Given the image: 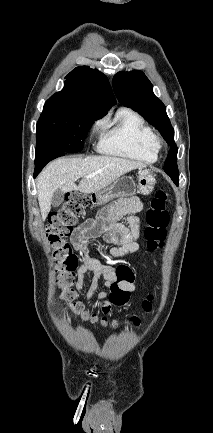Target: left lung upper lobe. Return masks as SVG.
<instances>
[{"label":"left lung upper lobe","mask_w":213,"mask_h":433,"mask_svg":"<svg viewBox=\"0 0 213 433\" xmlns=\"http://www.w3.org/2000/svg\"><path fill=\"white\" fill-rule=\"evenodd\" d=\"M114 92L122 105L132 108L152 124L170 145L164 171L178 186L179 174L176 163L177 146L174 129L166 114L165 105L153 93V86L141 71L118 72L113 77Z\"/></svg>","instance_id":"left-lung-upper-lobe-1"}]
</instances>
